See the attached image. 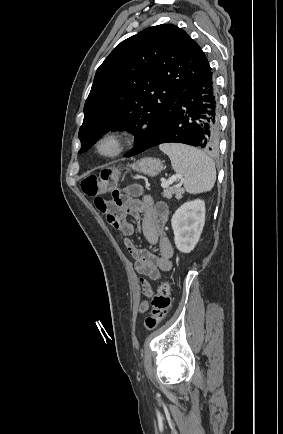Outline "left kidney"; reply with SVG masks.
<instances>
[{"instance_id": "left-kidney-1", "label": "left kidney", "mask_w": 283, "mask_h": 434, "mask_svg": "<svg viewBox=\"0 0 283 434\" xmlns=\"http://www.w3.org/2000/svg\"><path fill=\"white\" fill-rule=\"evenodd\" d=\"M204 224L203 200L196 199L181 205L171 219L177 249L183 253H190L200 239Z\"/></svg>"}]
</instances>
